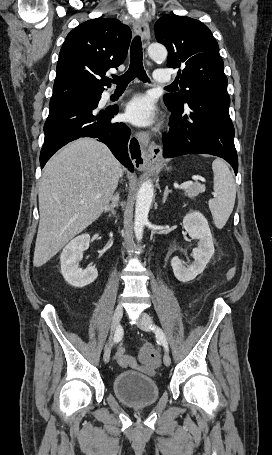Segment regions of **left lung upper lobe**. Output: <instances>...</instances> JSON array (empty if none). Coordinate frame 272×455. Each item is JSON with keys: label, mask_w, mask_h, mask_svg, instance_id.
<instances>
[{"label": "left lung upper lobe", "mask_w": 272, "mask_h": 455, "mask_svg": "<svg viewBox=\"0 0 272 455\" xmlns=\"http://www.w3.org/2000/svg\"><path fill=\"white\" fill-rule=\"evenodd\" d=\"M155 36L168 49L167 66L180 68L181 90L164 95V101L183 105L201 94H228L224 63L209 28L186 16L165 15L155 24Z\"/></svg>", "instance_id": "1"}]
</instances>
